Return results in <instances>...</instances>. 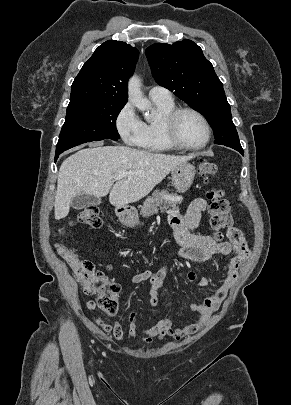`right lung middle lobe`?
<instances>
[{
  "mask_svg": "<svg viewBox=\"0 0 291 405\" xmlns=\"http://www.w3.org/2000/svg\"><path fill=\"white\" fill-rule=\"evenodd\" d=\"M124 105L120 102L69 104L56 146L55 160L65 150L82 143L118 140L120 135L116 129V118Z\"/></svg>",
  "mask_w": 291,
  "mask_h": 405,
  "instance_id": "1",
  "label": "right lung middle lobe"
}]
</instances>
